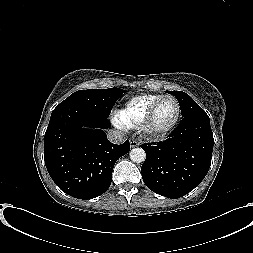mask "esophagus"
Returning a JSON list of instances; mask_svg holds the SVG:
<instances>
[{
	"mask_svg": "<svg viewBox=\"0 0 253 253\" xmlns=\"http://www.w3.org/2000/svg\"><path fill=\"white\" fill-rule=\"evenodd\" d=\"M137 146H139V142L137 140L133 139V138L130 139V147L134 148V147H137Z\"/></svg>",
	"mask_w": 253,
	"mask_h": 253,
	"instance_id": "34e87169",
	"label": "esophagus"
}]
</instances>
